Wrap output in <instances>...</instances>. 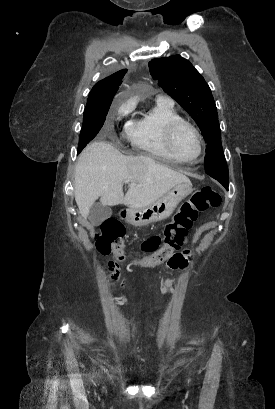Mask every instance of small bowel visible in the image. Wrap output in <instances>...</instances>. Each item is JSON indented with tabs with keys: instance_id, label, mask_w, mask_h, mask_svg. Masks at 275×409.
Listing matches in <instances>:
<instances>
[{
	"instance_id": "1",
	"label": "small bowel",
	"mask_w": 275,
	"mask_h": 409,
	"mask_svg": "<svg viewBox=\"0 0 275 409\" xmlns=\"http://www.w3.org/2000/svg\"><path fill=\"white\" fill-rule=\"evenodd\" d=\"M168 261L170 262L168 264V269L169 270H185L189 266V263L193 262V257L190 256V251L189 250H184L182 253L178 254L177 257L174 256V255L170 256L168 258ZM110 273H111V279H112L113 284H118L119 280H124V279L129 278L128 274L122 273L121 268L111 269ZM172 285H173V280L172 279L165 280V282L163 284V287H162L163 293H168L169 290L171 289ZM121 286L125 287L126 283L122 282ZM122 301L124 303H126L128 301V299L123 298ZM154 310L157 312L159 309L156 307Z\"/></svg>"
}]
</instances>
